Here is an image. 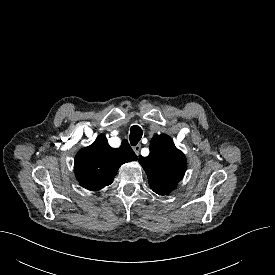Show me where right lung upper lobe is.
I'll return each instance as SVG.
<instances>
[{"instance_id":"right-lung-upper-lobe-1","label":"right lung upper lobe","mask_w":275,"mask_h":275,"mask_svg":"<svg viewBox=\"0 0 275 275\" xmlns=\"http://www.w3.org/2000/svg\"><path fill=\"white\" fill-rule=\"evenodd\" d=\"M136 160L137 156L127 140L116 149L109 146L104 135H100L76 154L75 175L81 186L98 191L112 183L122 164Z\"/></svg>"}]
</instances>
